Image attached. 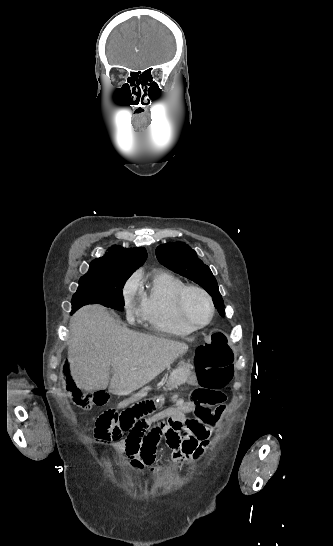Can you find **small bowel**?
Wrapping results in <instances>:
<instances>
[{"instance_id":"c3829d8e","label":"small bowel","mask_w":333,"mask_h":546,"mask_svg":"<svg viewBox=\"0 0 333 546\" xmlns=\"http://www.w3.org/2000/svg\"><path fill=\"white\" fill-rule=\"evenodd\" d=\"M184 378L189 387L199 384L195 381L198 377L194 374H187ZM151 390L149 386H141L140 392L132 393L128 401H137L139 396H146L145 393ZM201 395L207 401L169 407L150 417L146 416L141 421L130 418L128 433L115 450L124 453L132 468H147L153 475H159L163 468L155 465V455L160 437L163 436L172 450L174 468L198 461L209 447L214 425L221 424L218 420L228 407L221 390L203 391ZM128 401L117 406V411H122ZM213 406L216 408L212 409ZM190 412L193 413L192 417L188 416ZM157 429L160 431L159 437L156 435Z\"/></svg>"}]
</instances>
